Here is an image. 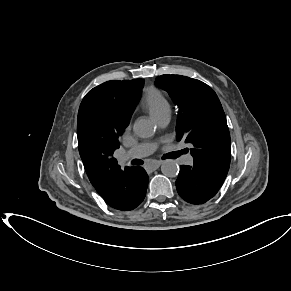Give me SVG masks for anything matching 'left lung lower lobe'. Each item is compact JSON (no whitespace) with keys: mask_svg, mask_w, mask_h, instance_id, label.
<instances>
[{"mask_svg":"<svg viewBox=\"0 0 291 291\" xmlns=\"http://www.w3.org/2000/svg\"><path fill=\"white\" fill-rule=\"evenodd\" d=\"M224 180L225 178L196 163L192 166L182 165L176 180V189L186 202L203 204L217 194Z\"/></svg>","mask_w":291,"mask_h":291,"instance_id":"left-lung-lower-lobe-1","label":"left lung lower lobe"}]
</instances>
